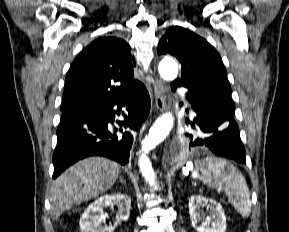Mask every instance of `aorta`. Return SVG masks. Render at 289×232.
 I'll return each mask as SVG.
<instances>
[{
    "label": "aorta",
    "instance_id": "obj_1",
    "mask_svg": "<svg viewBox=\"0 0 289 232\" xmlns=\"http://www.w3.org/2000/svg\"><path fill=\"white\" fill-rule=\"evenodd\" d=\"M158 71L164 80H174L178 75V65L173 60H163L159 64ZM173 122L174 119L171 113L163 114L156 120L154 125L151 127L149 134L142 141L143 153L139 158V168L142 176L151 186L154 185V171L146 153L151 149H154L167 137L173 127ZM155 188H157V186H155Z\"/></svg>",
    "mask_w": 289,
    "mask_h": 232
}]
</instances>
